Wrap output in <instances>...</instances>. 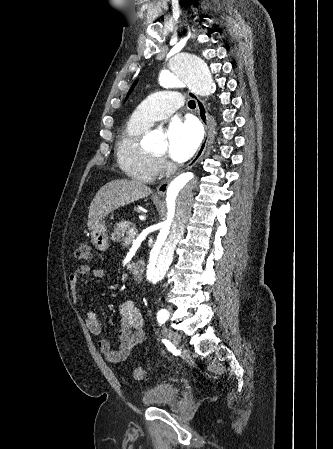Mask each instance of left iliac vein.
Listing matches in <instances>:
<instances>
[{"label": "left iliac vein", "mask_w": 333, "mask_h": 449, "mask_svg": "<svg viewBox=\"0 0 333 449\" xmlns=\"http://www.w3.org/2000/svg\"><path fill=\"white\" fill-rule=\"evenodd\" d=\"M163 333H164V336L170 341V342H172V344L173 345H175V346H177L179 343H180V341H181V336H180V334L177 332V331H175V330H173V329H171V328H164L163 329Z\"/></svg>", "instance_id": "4c4485c4"}]
</instances>
